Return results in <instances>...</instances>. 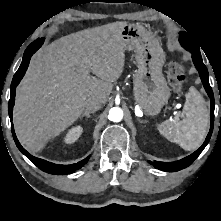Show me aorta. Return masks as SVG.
<instances>
[{
	"instance_id": "obj_1",
	"label": "aorta",
	"mask_w": 221,
	"mask_h": 221,
	"mask_svg": "<svg viewBox=\"0 0 221 221\" xmlns=\"http://www.w3.org/2000/svg\"><path fill=\"white\" fill-rule=\"evenodd\" d=\"M123 118V110L119 107H113L109 110L108 119L113 122H120Z\"/></svg>"
}]
</instances>
